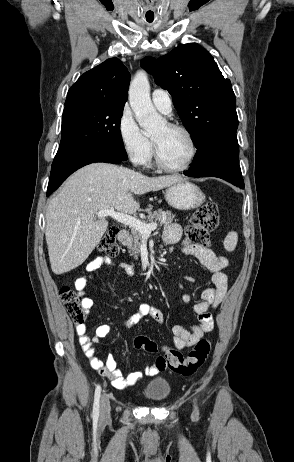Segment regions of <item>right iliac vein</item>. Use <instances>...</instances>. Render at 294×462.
<instances>
[{"label":"right iliac vein","instance_id":"right-iliac-vein-1","mask_svg":"<svg viewBox=\"0 0 294 462\" xmlns=\"http://www.w3.org/2000/svg\"><path fill=\"white\" fill-rule=\"evenodd\" d=\"M110 411H111V406H110L109 396L107 394H103L101 396V401H100V421L101 422H104L110 418Z\"/></svg>","mask_w":294,"mask_h":462}]
</instances>
